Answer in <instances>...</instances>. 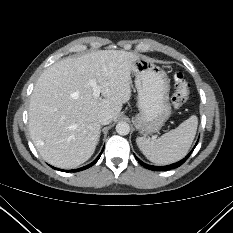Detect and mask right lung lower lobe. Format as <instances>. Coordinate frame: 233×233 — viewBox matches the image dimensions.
I'll list each match as a JSON object with an SVG mask.
<instances>
[{
    "mask_svg": "<svg viewBox=\"0 0 233 233\" xmlns=\"http://www.w3.org/2000/svg\"><path fill=\"white\" fill-rule=\"evenodd\" d=\"M102 152H103V149H102L101 153L99 154V156L92 163H90V164H88V165H86V166H84L82 168H78V169H74V170H61V169H58V170L65 171V172H77V171H81V170H84L86 168H89V167L93 166L98 161V159L100 158Z\"/></svg>",
    "mask_w": 233,
    "mask_h": 233,
    "instance_id": "obj_1",
    "label": "right lung lower lobe"
}]
</instances>
